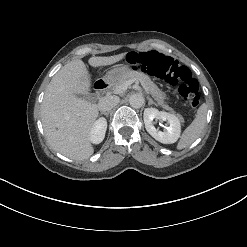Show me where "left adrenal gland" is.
<instances>
[{"instance_id":"left-adrenal-gland-1","label":"left adrenal gland","mask_w":247,"mask_h":247,"mask_svg":"<svg viewBox=\"0 0 247 247\" xmlns=\"http://www.w3.org/2000/svg\"><path fill=\"white\" fill-rule=\"evenodd\" d=\"M147 100H148V105L154 104L155 106H157V104L150 97H147Z\"/></svg>"}]
</instances>
